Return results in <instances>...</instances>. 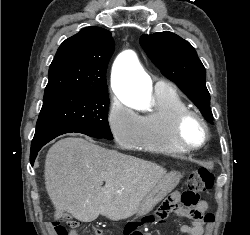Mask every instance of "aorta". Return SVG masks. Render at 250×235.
<instances>
[{
    "mask_svg": "<svg viewBox=\"0 0 250 235\" xmlns=\"http://www.w3.org/2000/svg\"><path fill=\"white\" fill-rule=\"evenodd\" d=\"M112 84L115 93L127 104L144 105L150 98L151 79L141 69L132 51L121 53L115 61Z\"/></svg>",
    "mask_w": 250,
    "mask_h": 235,
    "instance_id": "obj_1",
    "label": "aorta"
}]
</instances>
